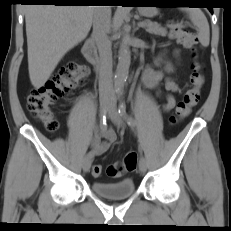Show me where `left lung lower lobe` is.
Masks as SVG:
<instances>
[{"instance_id":"1","label":"left lung lower lobe","mask_w":231,"mask_h":231,"mask_svg":"<svg viewBox=\"0 0 231 231\" xmlns=\"http://www.w3.org/2000/svg\"><path fill=\"white\" fill-rule=\"evenodd\" d=\"M208 9H209V11H210L211 13H213V8H212V7H208Z\"/></svg>"}]
</instances>
